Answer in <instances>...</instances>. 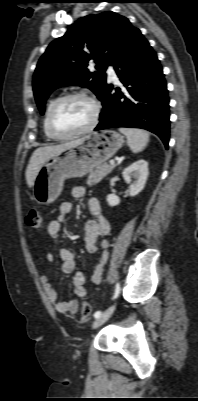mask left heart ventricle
Listing matches in <instances>:
<instances>
[{
	"label": "left heart ventricle",
	"mask_w": 198,
	"mask_h": 401,
	"mask_svg": "<svg viewBox=\"0 0 198 401\" xmlns=\"http://www.w3.org/2000/svg\"><path fill=\"white\" fill-rule=\"evenodd\" d=\"M93 118L92 105L80 98L69 99L58 106L52 118L54 130L68 135L86 128Z\"/></svg>",
	"instance_id": "1"
}]
</instances>
